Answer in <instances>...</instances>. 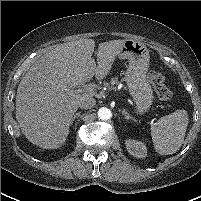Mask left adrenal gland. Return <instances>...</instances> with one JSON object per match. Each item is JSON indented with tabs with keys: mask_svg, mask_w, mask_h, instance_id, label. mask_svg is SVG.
<instances>
[{
	"mask_svg": "<svg viewBox=\"0 0 201 201\" xmlns=\"http://www.w3.org/2000/svg\"><path fill=\"white\" fill-rule=\"evenodd\" d=\"M122 114L125 116L126 120H133L134 122L138 123V121L134 117H132L129 113H127L125 109L122 111Z\"/></svg>",
	"mask_w": 201,
	"mask_h": 201,
	"instance_id": "a2214340",
	"label": "left adrenal gland"
}]
</instances>
